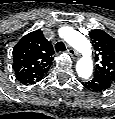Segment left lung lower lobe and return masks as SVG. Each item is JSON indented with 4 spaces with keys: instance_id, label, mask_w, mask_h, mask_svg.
Wrapping results in <instances>:
<instances>
[{
    "instance_id": "obj_1",
    "label": "left lung lower lobe",
    "mask_w": 115,
    "mask_h": 119,
    "mask_svg": "<svg viewBox=\"0 0 115 119\" xmlns=\"http://www.w3.org/2000/svg\"><path fill=\"white\" fill-rule=\"evenodd\" d=\"M111 84V81L97 74H95L91 80L84 83L82 82L85 88L95 92L106 91L111 87Z\"/></svg>"
}]
</instances>
